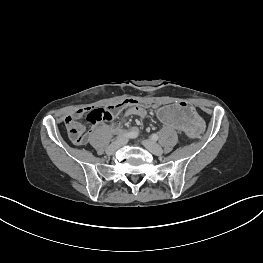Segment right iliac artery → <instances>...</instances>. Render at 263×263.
Instances as JSON below:
<instances>
[{
  "label": "right iliac artery",
  "mask_w": 263,
  "mask_h": 263,
  "mask_svg": "<svg viewBox=\"0 0 263 263\" xmlns=\"http://www.w3.org/2000/svg\"><path fill=\"white\" fill-rule=\"evenodd\" d=\"M138 136V131L132 130L130 132H125L122 134H119L116 138L120 139L121 137H127V138H136Z\"/></svg>",
  "instance_id": "82829eb1"
}]
</instances>
